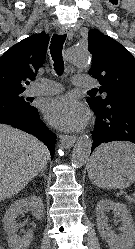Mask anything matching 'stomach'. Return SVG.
I'll return each instance as SVG.
<instances>
[{"label": "stomach", "instance_id": "0dacf381", "mask_svg": "<svg viewBox=\"0 0 135 249\" xmlns=\"http://www.w3.org/2000/svg\"><path fill=\"white\" fill-rule=\"evenodd\" d=\"M114 143L99 147L88 163V176L99 187L121 189L135 181V151L116 149Z\"/></svg>", "mask_w": 135, "mask_h": 249}]
</instances>
